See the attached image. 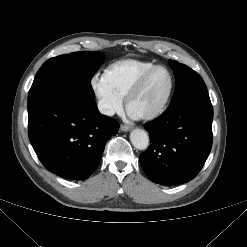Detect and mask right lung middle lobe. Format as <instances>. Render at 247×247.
Segmentation results:
<instances>
[{"mask_svg": "<svg viewBox=\"0 0 247 247\" xmlns=\"http://www.w3.org/2000/svg\"><path fill=\"white\" fill-rule=\"evenodd\" d=\"M104 61L100 52L81 51L47 60L38 70L28 101L50 93H64L79 99L94 100L91 79Z\"/></svg>", "mask_w": 247, "mask_h": 247, "instance_id": "1", "label": "right lung middle lobe"}]
</instances>
